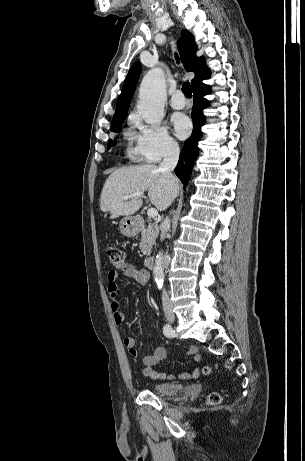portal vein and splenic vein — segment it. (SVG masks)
<instances>
[{"label":"portal vein and splenic vein","mask_w":305,"mask_h":461,"mask_svg":"<svg viewBox=\"0 0 305 461\" xmlns=\"http://www.w3.org/2000/svg\"><path fill=\"white\" fill-rule=\"evenodd\" d=\"M144 195L143 192H135V193H132L130 195H125L123 197L124 200H128V199H131V198H135V197H142ZM147 215L150 217V218H155L157 215H158V211L157 209L155 208H149L148 211H147Z\"/></svg>","instance_id":"portal-vein-and-splenic-vein-1"}]
</instances>
